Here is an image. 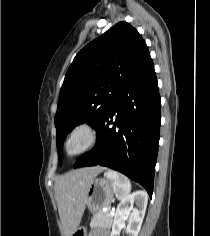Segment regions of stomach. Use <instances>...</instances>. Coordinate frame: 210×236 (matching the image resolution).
I'll use <instances>...</instances> for the list:
<instances>
[{"instance_id": "1", "label": "stomach", "mask_w": 210, "mask_h": 236, "mask_svg": "<svg viewBox=\"0 0 210 236\" xmlns=\"http://www.w3.org/2000/svg\"><path fill=\"white\" fill-rule=\"evenodd\" d=\"M113 182L109 178H94L87 189L85 206L92 213L101 212L102 209L109 207L114 197ZM72 236H87L85 227H78Z\"/></svg>"}]
</instances>
